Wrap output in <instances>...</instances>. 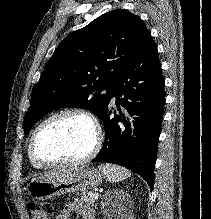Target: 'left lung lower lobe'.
Returning a JSON list of instances; mask_svg holds the SVG:
<instances>
[{"instance_id":"obj_1","label":"left lung lower lobe","mask_w":211,"mask_h":219,"mask_svg":"<svg viewBox=\"0 0 211 219\" xmlns=\"http://www.w3.org/2000/svg\"><path fill=\"white\" fill-rule=\"evenodd\" d=\"M164 86L157 47L150 36L111 88L109 101L116 96L119 115L110 118L111 110L107 107L99 117L106 136L102 149L92 160L130 169L142 176L151 190L163 119ZM120 105L130 115L138 116L134 118L133 131Z\"/></svg>"}]
</instances>
